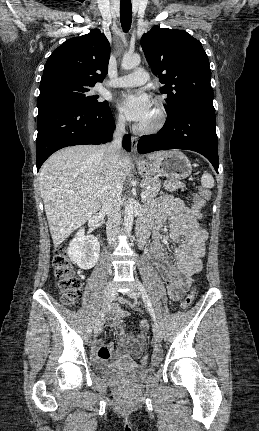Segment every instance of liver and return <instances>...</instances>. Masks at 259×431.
I'll return each mask as SVG.
<instances>
[{
  "instance_id": "6515ba94",
  "label": "liver",
  "mask_w": 259,
  "mask_h": 431,
  "mask_svg": "<svg viewBox=\"0 0 259 431\" xmlns=\"http://www.w3.org/2000/svg\"><path fill=\"white\" fill-rule=\"evenodd\" d=\"M165 152L147 155L155 160ZM132 169L131 159L121 153L122 182ZM108 176L105 153L96 145H76L54 153L39 172V186L55 247L98 212Z\"/></svg>"
}]
</instances>
